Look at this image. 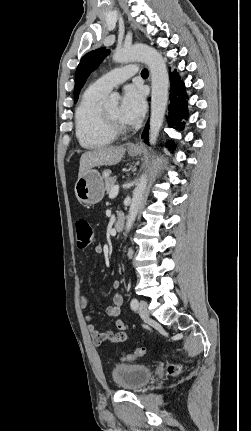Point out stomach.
Segmentation results:
<instances>
[{
  "instance_id": "obj_1",
  "label": "stomach",
  "mask_w": 251,
  "mask_h": 431,
  "mask_svg": "<svg viewBox=\"0 0 251 431\" xmlns=\"http://www.w3.org/2000/svg\"><path fill=\"white\" fill-rule=\"evenodd\" d=\"M130 156L142 153L141 149L129 150ZM75 195L84 204L93 205L102 200L105 193L104 178L95 169H90L84 176L78 178L75 183Z\"/></svg>"
}]
</instances>
